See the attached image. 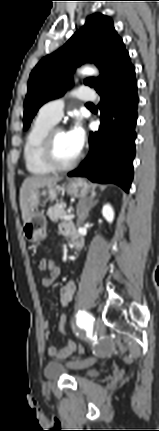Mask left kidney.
Masks as SVG:
<instances>
[{
  "label": "left kidney",
  "instance_id": "5707ae66",
  "mask_svg": "<svg viewBox=\"0 0 159 431\" xmlns=\"http://www.w3.org/2000/svg\"><path fill=\"white\" fill-rule=\"evenodd\" d=\"M102 215L103 217L109 222L112 223L113 219H114V210L113 208L110 206V204H106L103 206L102 209Z\"/></svg>",
  "mask_w": 159,
  "mask_h": 431
}]
</instances>
